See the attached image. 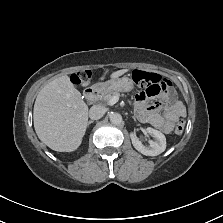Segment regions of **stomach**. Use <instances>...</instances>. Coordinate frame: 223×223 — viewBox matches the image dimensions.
Returning <instances> with one entry per match:
<instances>
[{
    "instance_id": "1",
    "label": "stomach",
    "mask_w": 223,
    "mask_h": 223,
    "mask_svg": "<svg viewBox=\"0 0 223 223\" xmlns=\"http://www.w3.org/2000/svg\"><path fill=\"white\" fill-rule=\"evenodd\" d=\"M134 80L128 77L110 79L105 82H98L93 85V89L103 94V92L120 90L121 92L130 90L133 86Z\"/></svg>"
}]
</instances>
